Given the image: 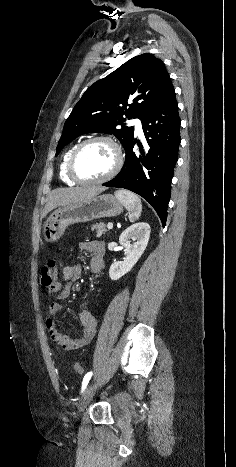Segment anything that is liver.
<instances>
[{
  "label": "liver",
  "instance_id": "obj_1",
  "mask_svg": "<svg viewBox=\"0 0 236 467\" xmlns=\"http://www.w3.org/2000/svg\"><path fill=\"white\" fill-rule=\"evenodd\" d=\"M104 190V187H73L53 190L48 197L42 217H45L54 208L74 202L89 200L96 197Z\"/></svg>",
  "mask_w": 236,
  "mask_h": 467
}]
</instances>
